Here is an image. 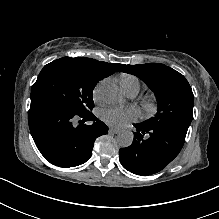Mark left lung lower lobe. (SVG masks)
<instances>
[{"label":"left lung lower lobe","instance_id":"left-lung-lower-lobe-1","mask_svg":"<svg viewBox=\"0 0 219 219\" xmlns=\"http://www.w3.org/2000/svg\"><path fill=\"white\" fill-rule=\"evenodd\" d=\"M131 146L119 150L122 166L137 175L148 176L164 169L181 151L186 134L146 123L134 124Z\"/></svg>","mask_w":219,"mask_h":219}]
</instances>
